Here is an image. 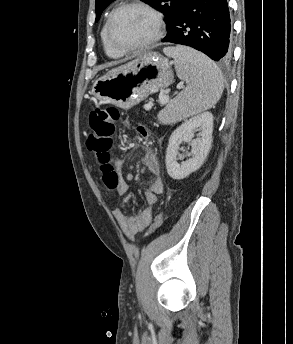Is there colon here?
I'll use <instances>...</instances> for the list:
<instances>
[{
    "instance_id": "colon-1",
    "label": "colon",
    "mask_w": 293,
    "mask_h": 344,
    "mask_svg": "<svg viewBox=\"0 0 293 344\" xmlns=\"http://www.w3.org/2000/svg\"><path fill=\"white\" fill-rule=\"evenodd\" d=\"M119 118L120 113L118 109L113 107L95 108L89 113L88 122L92 134L87 141V145L90 150L97 152L102 166L110 165L108 163L109 150L113 145V136ZM137 134L143 139L149 138V132L144 127H138ZM107 186L113 188L115 185L109 184ZM162 223V214L157 213L153 218L148 233L150 234L158 230Z\"/></svg>"
}]
</instances>
